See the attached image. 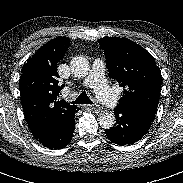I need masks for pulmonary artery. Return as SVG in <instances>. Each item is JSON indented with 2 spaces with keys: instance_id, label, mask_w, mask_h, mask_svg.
Here are the masks:
<instances>
[{
  "instance_id": "pulmonary-artery-1",
  "label": "pulmonary artery",
  "mask_w": 183,
  "mask_h": 183,
  "mask_svg": "<svg viewBox=\"0 0 183 183\" xmlns=\"http://www.w3.org/2000/svg\"><path fill=\"white\" fill-rule=\"evenodd\" d=\"M104 63L100 59L93 62L91 71L83 81V85L94 89L98 98L107 106L115 107L117 98L111 91L104 77Z\"/></svg>"
}]
</instances>
